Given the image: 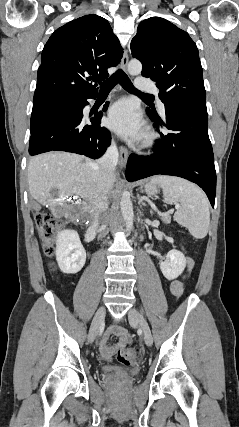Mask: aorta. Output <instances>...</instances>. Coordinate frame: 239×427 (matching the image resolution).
<instances>
[{"label":"aorta","mask_w":239,"mask_h":427,"mask_svg":"<svg viewBox=\"0 0 239 427\" xmlns=\"http://www.w3.org/2000/svg\"><path fill=\"white\" fill-rule=\"evenodd\" d=\"M142 71V64L140 61L134 59L131 60L128 64V72L130 75H139ZM120 207H121V213L123 216V219L125 221L126 229L130 231L133 227V204L130 199V195L128 191H123L121 200H120Z\"/></svg>","instance_id":"obj_1"}]
</instances>
